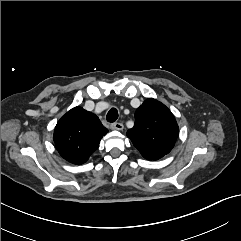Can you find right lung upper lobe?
I'll return each mask as SVG.
<instances>
[{
  "mask_svg": "<svg viewBox=\"0 0 241 241\" xmlns=\"http://www.w3.org/2000/svg\"><path fill=\"white\" fill-rule=\"evenodd\" d=\"M107 132L95 114L75 107L58 121L53 140L65 160L81 165L98 148Z\"/></svg>",
  "mask_w": 241,
  "mask_h": 241,
  "instance_id": "1",
  "label": "right lung upper lobe"
}]
</instances>
